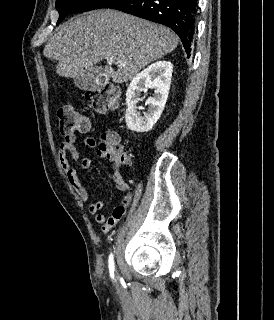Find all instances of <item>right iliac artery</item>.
<instances>
[{"mask_svg": "<svg viewBox=\"0 0 274 320\" xmlns=\"http://www.w3.org/2000/svg\"><path fill=\"white\" fill-rule=\"evenodd\" d=\"M109 272H110V276L114 279L115 265H114V258L112 253L109 256Z\"/></svg>", "mask_w": 274, "mask_h": 320, "instance_id": "1", "label": "right iliac artery"}]
</instances>
